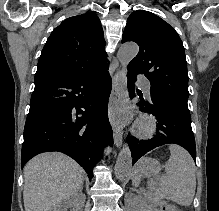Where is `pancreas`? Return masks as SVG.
<instances>
[{"instance_id": "pancreas-1", "label": "pancreas", "mask_w": 219, "mask_h": 211, "mask_svg": "<svg viewBox=\"0 0 219 211\" xmlns=\"http://www.w3.org/2000/svg\"><path fill=\"white\" fill-rule=\"evenodd\" d=\"M148 193V199L150 203H154V205H159V203H162V197L156 193V191H149L148 189L146 190Z\"/></svg>"}]
</instances>
